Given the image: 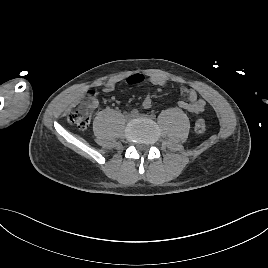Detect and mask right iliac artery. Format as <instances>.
<instances>
[{
    "label": "right iliac artery",
    "mask_w": 268,
    "mask_h": 268,
    "mask_svg": "<svg viewBox=\"0 0 268 268\" xmlns=\"http://www.w3.org/2000/svg\"><path fill=\"white\" fill-rule=\"evenodd\" d=\"M138 113H139V111H138L137 109H133V110L131 111V114H133L134 116H135V115H138Z\"/></svg>",
    "instance_id": "1"
}]
</instances>
